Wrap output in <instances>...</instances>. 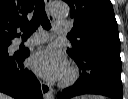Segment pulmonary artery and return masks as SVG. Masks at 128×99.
I'll return each instance as SVG.
<instances>
[{"label": "pulmonary artery", "mask_w": 128, "mask_h": 99, "mask_svg": "<svg viewBox=\"0 0 128 99\" xmlns=\"http://www.w3.org/2000/svg\"><path fill=\"white\" fill-rule=\"evenodd\" d=\"M70 24L69 22L64 21H56L54 23V30L55 32L62 33L69 30ZM48 39V35L46 33H38L33 36H31L26 42H24L25 45H37L45 42ZM21 41H16V45H20Z\"/></svg>", "instance_id": "pulmonary-artery-1"}]
</instances>
